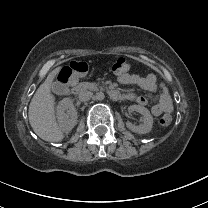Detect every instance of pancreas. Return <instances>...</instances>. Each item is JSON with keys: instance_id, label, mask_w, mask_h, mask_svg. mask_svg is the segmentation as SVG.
<instances>
[{"instance_id": "obj_1", "label": "pancreas", "mask_w": 208, "mask_h": 208, "mask_svg": "<svg viewBox=\"0 0 208 208\" xmlns=\"http://www.w3.org/2000/svg\"><path fill=\"white\" fill-rule=\"evenodd\" d=\"M79 90L90 89L91 91H103L105 87L100 86L98 83L81 82L77 85Z\"/></svg>"}]
</instances>
